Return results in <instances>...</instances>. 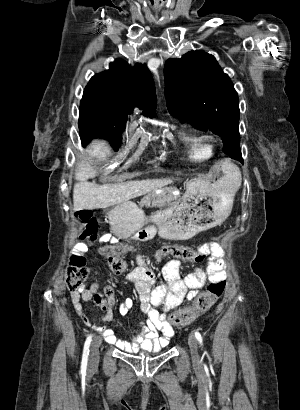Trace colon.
<instances>
[{"instance_id":"1","label":"colon","mask_w":300,"mask_h":410,"mask_svg":"<svg viewBox=\"0 0 300 410\" xmlns=\"http://www.w3.org/2000/svg\"><path fill=\"white\" fill-rule=\"evenodd\" d=\"M79 219L85 224L84 236L88 239L97 237V224L91 213L87 210L78 213ZM143 240L144 236H140ZM174 257L180 260L202 263L206 259L203 250L188 245L170 244L164 245L156 252V259L162 260L165 257ZM107 264L111 272L121 274L126 270V261L119 255H109ZM88 276L86 261L81 256H74L70 260L67 272L66 283L70 292H79ZM226 282L216 280L211 282L207 289L199 294L194 300L192 306L178 310L172 315V323L177 327H182L192 322L199 315L206 312L223 294Z\"/></svg>"}]
</instances>
